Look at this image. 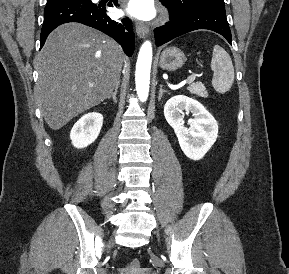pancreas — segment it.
<instances>
[{
	"mask_svg": "<svg viewBox=\"0 0 289 274\" xmlns=\"http://www.w3.org/2000/svg\"><path fill=\"white\" fill-rule=\"evenodd\" d=\"M187 89L192 94H195L197 96L204 97V98L208 96L205 86L200 82L192 83Z\"/></svg>",
	"mask_w": 289,
	"mask_h": 274,
	"instance_id": "1",
	"label": "pancreas"
}]
</instances>
